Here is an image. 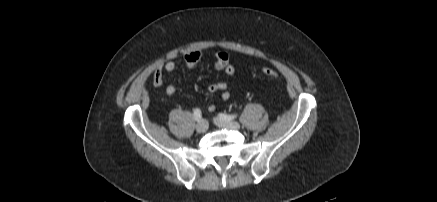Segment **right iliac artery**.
Segmentation results:
<instances>
[{
  "label": "right iliac artery",
  "mask_w": 437,
  "mask_h": 202,
  "mask_svg": "<svg viewBox=\"0 0 437 202\" xmlns=\"http://www.w3.org/2000/svg\"><path fill=\"white\" fill-rule=\"evenodd\" d=\"M193 116H194V119L199 122L201 120V117H202L201 110L198 108L195 109L193 112Z\"/></svg>",
  "instance_id": "right-iliac-artery-1"
}]
</instances>
